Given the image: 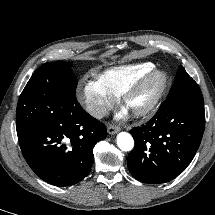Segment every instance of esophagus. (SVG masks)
I'll return each mask as SVG.
<instances>
[{
	"label": "esophagus",
	"instance_id": "34e87169",
	"mask_svg": "<svg viewBox=\"0 0 215 215\" xmlns=\"http://www.w3.org/2000/svg\"><path fill=\"white\" fill-rule=\"evenodd\" d=\"M121 130V128L119 126H115V125H109L107 127V131L109 134H115L117 132H119Z\"/></svg>",
	"mask_w": 215,
	"mask_h": 215
}]
</instances>
